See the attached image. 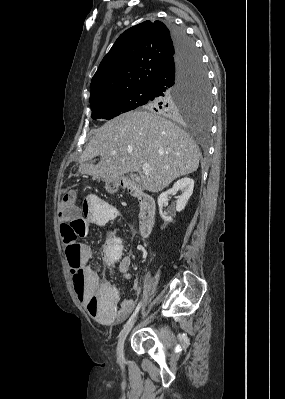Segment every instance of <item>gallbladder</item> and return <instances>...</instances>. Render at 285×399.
Wrapping results in <instances>:
<instances>
[{
    "mask_svg": "<svg viewBox=\"0 0 285 399\" xmlns=\"http://www.w3.org/2000/svg\"><path fill=\"white\" fill-rule=\"evenodd\" d=\"M131 179H132L133 181H136V178H135V177H133V176H131Z\"/></svg>",
    "mask_w": 285,
    "mask_h": 399,
    "instance_id": "gallbladder-1",
    "label": "gallbladder"
}]
</instances>
